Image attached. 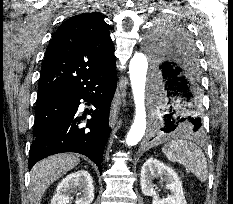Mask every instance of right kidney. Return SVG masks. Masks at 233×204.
<instances>
[{
    "label": "right kidney",
    "mask_w": 233,
    "mask_h": 204,
    "mask_svg": "<svg viewBox=\"0 0 233 204\" xmlns=\"http://www.w3.org/2000/svg\"><path fill=\"white\" fill-rule=\"evenodd\" d=\"M79 191L76 204H91L94 199L93 179L88 171L78 170L70 173L58 184L51 204H69L70 194Z\"/></svg>",
    "instance_id": "obj_1"
}]
</instances>
